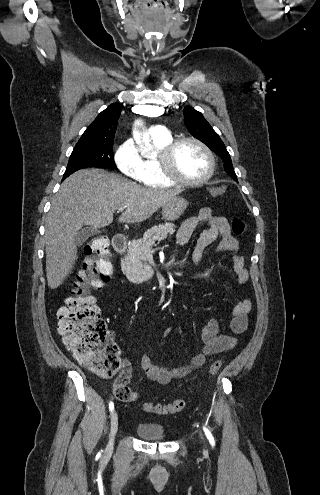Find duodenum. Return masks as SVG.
Returning a JSON list of instances; mask_svg holds the SVG:
<instances>
[{"label": "duodenum", "mask_w": 320, "mask_h": 495, "mask_svg": "<svg viewBox=\"0 0 320 495\" xmlns=\"http://www.w3.org/2000/svg\"><path fill=\"white\" fill-rule=\"evenodd\" d=\"M112 243L113 248L117 253L123 254L125 252L127 244L125 238L122 235L116 234L113 237Z\"/></svg>", "instance_id": "duodenum-1"}]
</instances>
